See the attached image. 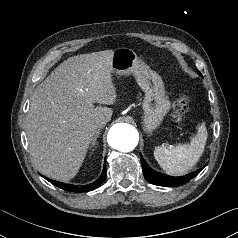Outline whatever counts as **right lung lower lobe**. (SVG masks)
Instances as JSON below:
<instances>
[{"mask_svg": "<svg viewBox=\"0 0 238 238\" xmlns=\"http://www.w3.org/2000/svg\"><path fill=\"white\" fill-rule=\"evenodd\" d=\"M106 177V165L104 164V168L102 171L101 176L99 177V179H97L95 182L89 184V185H84V186H77V185H71V184H64L61 182H57V181H53L51 179L45 178L46 180H48L50 183H52L53 185L66 190V191H70V192H87V191H91L94 190L98 187L101 186V184L104 182Z\"/></svg>", "mask_w": 238, "mask_h": 238, "instance_id": "right-lung-lower-lobe-1", "label": "right lung lower lobe"}]
</instances>
